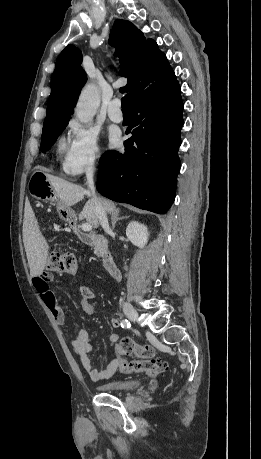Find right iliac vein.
<instances>
[{"instance_id":"obj_1","label":"right iliac vein","mask_w":261,"mask_h":459,"mask_svg":"<svg viewBox=\"0 0 261 459\" xmlns=\"http://www.w3.org/2000/svg\"><path fill=\"white\" fill-rule=\"evenodd\" d=\"M123 311L125 313V315L127 316V318L132 321V322H136L138 321V313L137 311L134 309L133 306H131L130 304H127L125 303L123 305Z\"/></svg>"}]
</instances>
